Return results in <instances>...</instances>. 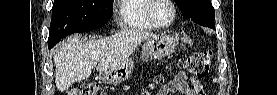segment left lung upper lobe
<instances>
[{
    "label": "left lung upper lobe",
    "mask_w": 277,
    "mask_h": 95,
    "mask_svg": "<svg viewBox=\"0 0 277 95\" xmlns=\"http://www.w3.org/2000/svg\"><path fill=\"white\" fill-rule=\"evenodd\" d=\"M181 7L182 15L186 19L206 26L209 28H215V10L210 0H175Z\"/></svg>",
    "instance_id": "1"
}]
</instances>
